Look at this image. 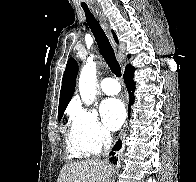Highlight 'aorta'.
Masks as SVG:
<instances>
[{"mask_svg":"<svg viewBox=\"0 0 196 182\" xmlns=\"http://www.w3.org/2000/svg\"><path fill=\"white\" fill-rule=\"evenodd\" d=\"M96 63L89 58L79 77V92L83 103L91 105L96 96Z\"/></svg>","mask_w":196,"mask_h":182,"instance_id":"1","label":"aorta"}]
</instances>
